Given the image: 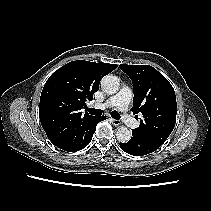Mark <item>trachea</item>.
I'll return each instance as SVG.
<instances>
[{"instance_id":"trachea-1","label":"trachea","mask_w":211,"mask_h":211,"mask_svg":"<svg viewBox=\"0 0 211 211\" xmlns=\"http://www.w3.org/2000/svg\"><path fill=\"white\" fill-rule=\"evenodd\" d=\"M87 111L91 114V115H95V116H100L102 115V110L100 109H94V108H90L87 109ZM111 117H113L114 119H120V114L116 111H112L111 112Z\"/></svg>"}]
</instances>
